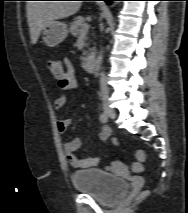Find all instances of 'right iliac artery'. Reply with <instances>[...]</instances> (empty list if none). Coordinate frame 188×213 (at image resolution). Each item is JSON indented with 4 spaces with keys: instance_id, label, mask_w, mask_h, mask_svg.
<instances>
[{
    "instance_id": "right-iliac-artery-1",
    "label": "right iliac artery",
    "mask_w": 188,
    "mask_h": 213,
    "mask_svg": "<svg viewBox=\"0 0 188 213\" xmlns=\"http://www.w3.org/2000/svg\"><path fill=\"white\" fill-rule=\"evenodd\" d=\"M100 121H101L102 123H107V122H108V115H107L106 113H102V114L100 115Z\"/></svg>"
}]
</instances>
